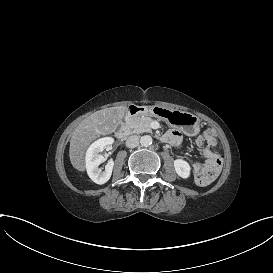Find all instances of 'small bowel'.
Wrapping results in <instances>:
<instances>
[{
    "instance_id": "1",
    "label": "small bowel",
    "mask_w": 273,
    "mask_h": 273,
    "mask_svg": "<svg viewBox=\"0 0 273 273\" xmlns=\"http://www.w3.org/2000/svg\"><path fill=\"white\" fill-rule=\"evenodd\" d=\"M164 140L166 142H170V143L175 144L174 148L176 150H178L179 152H182L184 150V147L182 145H180V143L183 141V133L180 130H173V131L168 132L167 134L164 135ZM199 141H201V142L205 141L207 143V145H209V146L214 145V143H215L214 132L210 129L205 130L203 132V134L201 135ZM207 155H216V154L214 152H212L209 148H206L203 151L202 156L204 158ZM199 170H200V167L195 166L194 172L197 173Z\"/></svg>"
}]
</instances>
